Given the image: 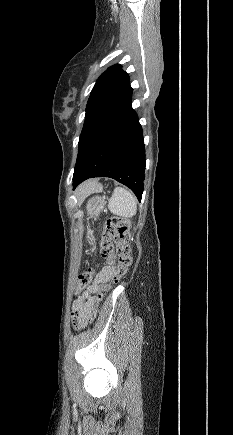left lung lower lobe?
<instances>
[{
	"instance_id": "left-lung-lower-lobe-1",
	"label": "left lung lower lobe",
	"mask_w": 233,
	"mask_h": 435,
	"mask_svg": "<svg viewBox=\"0 0 233 435\" xmlns=\"http://www.w3.org/2000/svg\"><path fill=\"white\" fill-rule=\"evenodd\" d=\"M145 147L132 107L108 124L77 159L73 187L90 177H110L125 184L140 201L144 189Z\"/></svg>"
}]
</instances>
